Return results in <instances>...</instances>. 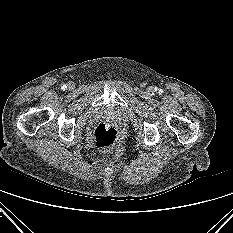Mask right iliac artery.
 Masks as SVG:
<instances>
[{
	"label": "right iliac artery",
	"instance_id": "obj_1",
	"mask_svg": "<svg viewBox=\"0 0 233 233\" xmlns=\"http://www.w3.org/2000/svg\"><path fill=\"white\" fill-rule=\"evenodd\" d=\"M66 88H67L66 85H62V86H61V89H62V90H65Z\"/></svg>",
	"mask_w": 233,
	"mask_h": 233
}]
</instances>
